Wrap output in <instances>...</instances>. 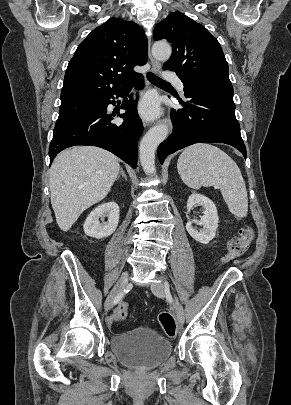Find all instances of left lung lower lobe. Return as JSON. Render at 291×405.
<instances>
[{"instance_id": "0a47b994", "label": "left lung lower lobe", "mask_w": 291, "mask_h": 405, "mask_svg": "<svg viewBox=\"0 0 291 405\" xmlns=\"http://www.w3.org/2000/svg\"><path fill=\"white\" fill-rule=\"evenodd\" d=\"M187 100H179L183 109H172L174 127L158 148L161 164L167 155L195 143H226L247 157L235 117L233 87L215 83H184Z\"/></svg>"}]
</instances>
